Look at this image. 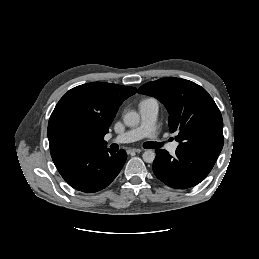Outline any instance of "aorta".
<instances>
[{"label":"aorta","mask_w":259,"mask_h":259,"mask_svg":"<svg viewBox=\"0 0 259 259\" xmlns=\"http://www.w3.org/2000/svg\"><path fill=\"white\" fill-rule=\"evenodd\" d=\"M123 121L126 126H136L140 122V115L136 111H128L124 115ZM155 156V152L151 149H148L143 153V160L147 163H152L155 159Z\"/></svg>","instance_id":"1"}]
</instances>
